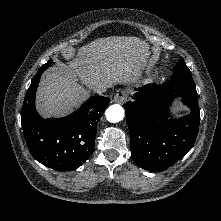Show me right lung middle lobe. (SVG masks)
Returning a JSON list of instances; mask_svg holds the SVG:
<instances>
[{
	"label": "right lung middle lobe",
	"mask_w": 221,
	"mask_h": 221,
	"mask_svg": "<svg viewBox=\"0 0 221 221\" xmlns=\"http://www.w3.org/2000/svg\"><path fill=\"white\" fill-rule=\"evenodd\" d=\"M52 65V60H49L46 64H44L40 69H39V73H43V71H45L48 67H50ZM37 72V73H38Z\"/></svg>",
	"instance_id": "dd1d6c3e"
}]
</instances>
